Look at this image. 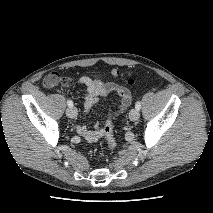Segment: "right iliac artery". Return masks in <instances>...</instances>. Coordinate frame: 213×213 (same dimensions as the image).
Masks as SVG:
<instances>
[{"instance_id":"1","label":"right iliac artery","mask_w":213,"mask_h":213,"mask_svg":"<svg viewBox=\"0 0 213 213\" xmlns=\"http://www.w3.org/2000/svg\"><path fill=\"white\" fill-rule=\"evenodd\" d=\"M67 105H68L69 107H73V102H72L71 100H67Z\"/></svg>"}]
</instances>
